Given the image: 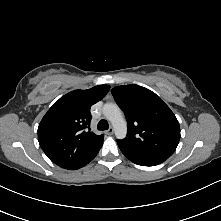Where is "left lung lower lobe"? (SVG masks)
Segmentation results:
<instances>
[{
	"mask_svg": "<svg viewBox=\"0 0 221 221\" xmlns=\"http://www.w3.org/2000/svg\"><path fill=\"white\" fill-rule=\"evenodd\" d=\"M117 144L122 153L125 155V157H127L133 163L141 166L158 165L170 157L169 155L163 153L131 148L129 146L124 145L119 140L117 141Z\"/></svg>",
	"mask_w": 221,
	"mask_h": 221,
	"instance_id": "obj_1",
	"label": "left lung lower lobe"
}]
</instances>
